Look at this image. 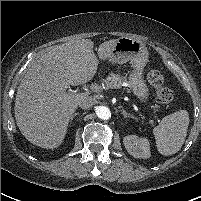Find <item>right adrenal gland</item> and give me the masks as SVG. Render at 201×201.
I'll list each match as a JSON object with an SVG mask.
<instances>
[{"mask_svg":"<svg viewBox=\"0 0 201 201\" xmlns=\"http://www.w3.org/2000/svg\"><path fill=\"white\" fill-rule=\"evenodd\" d=\"M77 115H79V113H74L73 115H72V117L70 118V122H72V120L75 118V116H77Z\"/></svg>","mask_w":201,"mask_h":201,"instance_id":"2a0ac1e0","label":"right adrenal gland"}]
</instances>
